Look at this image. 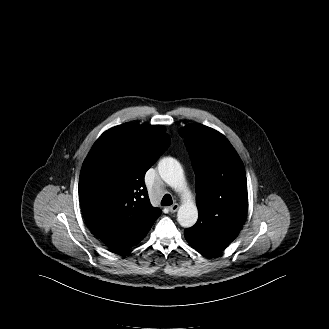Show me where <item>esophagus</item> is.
<instances>
[{"mask_svg":"<svg viewBox=\"0 0 329 329\" xmlns=\"http://www.w3.org/2000/svg\"><path fill=\"white\" fill-rule=\"evenodd\" d=\"M171 213H175L179 209V204L175 203L172 206L168 207Z\"/></svg>","mask_w":329,"mask_h":329,"instance_id":"1","label":"esophagus"}]
</instances>
